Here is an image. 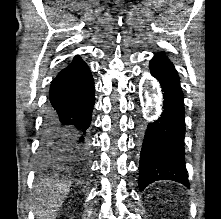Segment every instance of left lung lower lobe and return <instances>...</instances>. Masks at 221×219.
Instances as JSON below:
<instances>
[{
  "mask_svg": "<svg viewBox=\"0 0 221 219\" xmlns=\"http://www.w3.org/2000/svg\"><path fill=\"white\" fill-rule=\"evenodd\" d=\"M151 75L163 92L161 117L149 123L146 130L139 166V190L157 180H173L189 187L185 167L184 101L177 71L163 54L150 61Z\"/></svg>",
  "mask_w": 221,
  "mask_h": 219,
  "instance_id": "1",
  "label": "left lung lower lobe"
}]
</instances>
